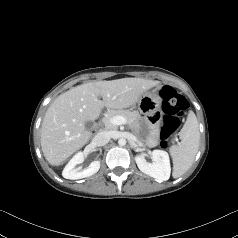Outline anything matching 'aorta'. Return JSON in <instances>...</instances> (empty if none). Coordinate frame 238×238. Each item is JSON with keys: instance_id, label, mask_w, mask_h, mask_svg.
<instances>
[{"instance_id": "obj_1", "label": "aorta", "mask_w": 238, "mask_h": 238, "mask_svg": "<svg viewBox=\"0 0 238 238\" xmlns=\"http://www.w3.org/2000/svg\"><path fill=\"white\" fill-rule=\"evenodd\" d=\"M118 144H119L120 146H125V145H126V139H125V138H120V139L118 140Z\"/></svg>"}]
</instances>
